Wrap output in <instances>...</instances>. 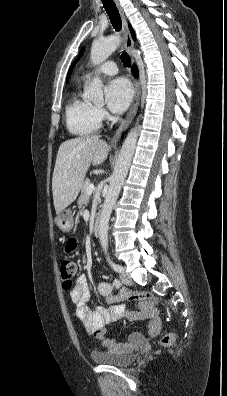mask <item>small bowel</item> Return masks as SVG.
I'll return each instance as SVG.
<instances>
[{"mask_svg": "<svg viewBox=\"0 0 227 396\" xmlns=\"http://www.w3.org/2000/svg\"><path fill=\"white\" fill-rule=\"evenodd\" d=\"M76 241L71 239L66 246L67 252L73 251ZM97 291L104 300L110 304L108 307L99 306L91 310L87 306L88 283L86 276L81 274L76 280V284L70 291V299L75 305V315L83 323L88 332L99 339L109 350H118L124 344L107 336L106 326L123 318L129 320H145L148 324V337H155L161 329L160 319L152 303L146 299H137L135 311H128L124 303H116L118 300L128 298L132 293L124 291L119 297L114 296V285L101 281L97 284ZM147 337L140 332H133L129 335L128 346L138 345L144 342Z\"/></svg>", "mask_w": 227, "mask_h": 396, "instance_id": "small-bowel-1", "label": "small bowel"}]
</instances>
